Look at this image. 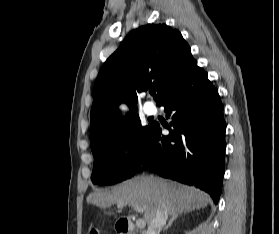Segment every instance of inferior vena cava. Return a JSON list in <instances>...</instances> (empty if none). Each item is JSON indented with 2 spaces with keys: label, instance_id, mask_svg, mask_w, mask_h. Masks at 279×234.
I'll use <instances>...</instances> for the list:
<instances>
[{
  "label": "inferior vena cava",
  "instance_id": "602c4592",
  "mask_svg": "<svg viewBox=\"0 0 279 234\" xmlns=\"http://www.w3.org/2000/svg\"><path fill=\"white\" fill-rule=\"evenodd\" d=\"M169 216L168 209L162 205L156 211L155 217L149 223L148 229L145 234H160L163 226L165 225Z\"/></svg>",
  "mask_w": 279,
  "mask_h": 234
}]
</instances>
